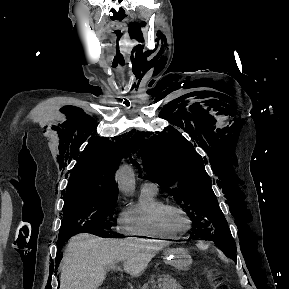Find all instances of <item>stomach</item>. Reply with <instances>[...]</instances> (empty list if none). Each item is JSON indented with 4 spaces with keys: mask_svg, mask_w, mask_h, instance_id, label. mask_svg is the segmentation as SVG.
<instances>
[{
    "mask_svg": "<svg viewBox=\"0 0 289 289\" xmlns=\"http://www.w3.org/2000/svg\"><path fill=\"white\" fill-rule=\"evenodd\" d=\"M165 261L178 270L187 271L192 264V257L187 249L176 247L166 250Z\"/></svg>",
    "mask_w": 289,
    "mask_h": 289,
    "instance_id": "obj_1",
    "label": "stomach"
}]
</instances>
